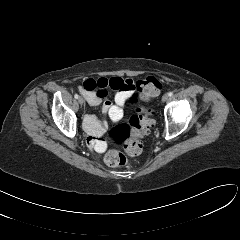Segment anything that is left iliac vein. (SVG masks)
Here are the masks:
<instances>
[{
	"mask_svg": "<svg viewBox=\"0 0 240 240\" xmlns=\"http://www.w3.org/2000/svg\"><path fill=\"white\" fill-rule=\"evenodd\" d=\"M168 97H169L168 94L165 93V94L162 96V101H163V102L167 101Z\"/></svg>",
	"mask_w": 240,
	"mask_h": 240,
	"instance_id": "4c4485c4",
	"label": "left iliac vein"
}]
</instances>
